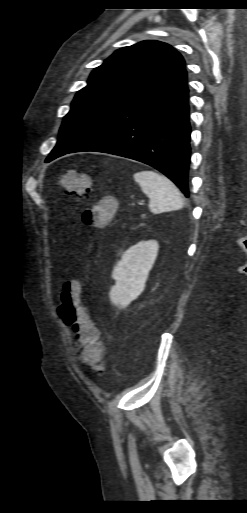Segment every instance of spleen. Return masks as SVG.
Wrapping results in <instances>:
<instances>
[{"label":"spleen","instance_id":"3e777b00","mask_svg":"<svg viewBox=\"0 0 247 513\" xmlns=\"http://www.w3.org/2000/svg\"><path fill=\"white\" fill-rule=\"evenodd\" d=\"M135 182L149 199L153 214L182 209L184 200L176 186L165 176L153 170H142L133 175Z\"/></svg>","mask_w":247,"mask_h":513}]
</instances>
